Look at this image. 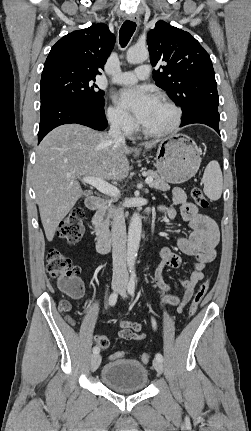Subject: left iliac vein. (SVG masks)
Segmentation results:
<instances>
[{"label":"left iliac vein","mask_w":251,"mask_h":431,"mask_svg":"<svg viewBox=\"0 0 251 431\" xmlns=\"http://www.w3.org/2000/svg\"><path fill=\"white\" fill-rule=\"evenodd\" d=\"M119 293H120V295L123 297V298H125L126 297V286L124 285V284H122V286L120 287V289H119ZM153 366H154V368H155V370L158 372V373H160V374H162L163 373V369H164V367H163V363H162V361H160V360H158V359H154L153 360Z\"/></svg>","instance_id":"left-iliac-vein-1"}]
</instances>
